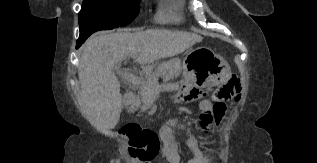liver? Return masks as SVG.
I'll use <instances>...</instances> for the list:
<instances>
[{
    "instance_id": "liver-1",
    "label": "liver",
    "mask_w": 317,
    "mask_h": 163,
    "mask_svg": "<svg viewBox=\"0 0 317 163\" xmlns=\"http://www.w3.org/2000/svg\"><path fill=\"white\" fill-rule=\"evenodd\" d=\"M203 40L185 31L149 29L139 32H99L81 48L78 77L81 108L98 130H111L119 122L122 95L114 66L127 57L140 65L172 57Z\"/></svg>"
}]
</instances>
